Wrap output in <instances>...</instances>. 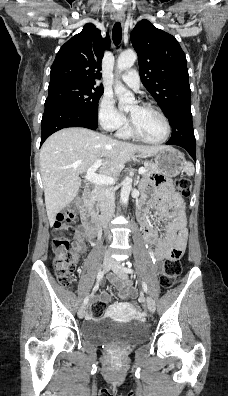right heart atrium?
Returning <instances> with one entry per match:
<instances>
[{
    "label": "right heart atrium",
    "instance_id": "obj_1",
    "mask_svg": "<svg viewBox=\"0 0 228 396\" xmlns=\"http://www.w3.org/2000/svg\"><path fill=\"white\" fill-rule=\"evenodd\" d=\"M98 120L106 131H119L127 126L126 118L115 108L112 97L104 94L99 102Z\"/></svg>",
    "mask_w": 228,
    "mask_h": 396
}]
</instances>
